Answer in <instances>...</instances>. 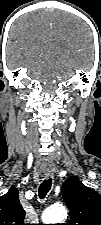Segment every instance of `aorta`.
<instances>
[{
  "mask_svg": "<svg viewBox=\"0 0 101 225\" xmlns=\"http://www.w3.org/2000/svg\"><path fill=\"white\" fill-rule=\"evenodd\" d=\"M67 217V211L62 205H53L47 208L42 215L44 224H58Z\"/></svg>",
  "mask_w": 101,
  "mask_h": 225,
  "instance_id": "762f6f07",
  "label": "aorta"
}]
</instances>
